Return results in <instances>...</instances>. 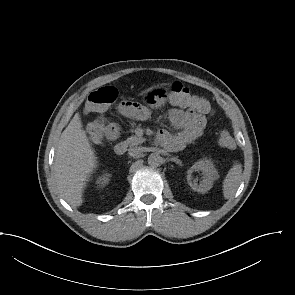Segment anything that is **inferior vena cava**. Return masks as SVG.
<instances>
[{"mask_svg": "<svg viewBox=\"0 0 295 295\" xmlns=\"http://www.w3.org/2000/svg\"><path fill=\"white\" fill-rule=\"evenodd\" d=\"M143 147H133L129 149L128 154L132 157H139L143 153Z\"/></svg>", "mask_w": 295, "mask_h": 295, "instance_id": "inferior-vena-cava-1", "label": "inferior vena cava"}]
</instances>
